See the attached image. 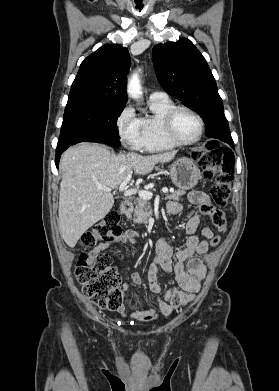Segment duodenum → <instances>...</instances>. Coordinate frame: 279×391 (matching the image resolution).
Returning a JSON list of instances; mask_svg holds the SVG:
<instances>
[{"mask_svg": "<svg viewBox=\"0 0 279 391\" xmlns=\"http://www.w3.org/2000/svg\"><path fill=\"white\" fill-rule=\"evenodd\" d=\"M132 209H133L132 202H130V201H122L121 202L120 211L122 214L128 215L129 213H131Z\"/></svg>", "mask_w": 279, "mask_h": 391, "instance_id": "duodenum-1", "label": "duodenum"}]
</instances>
